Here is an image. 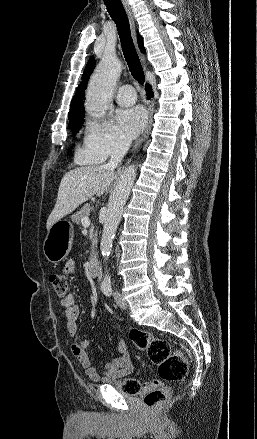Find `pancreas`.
<instances>
[{
    "instance_id": "pancreas-1",
    "label": "pancreas",
    "mask_w": 257,
    "mask_h": 439,
    "mask_svg": "<svg viewBox=\"0 0 257 439\" xmlns=\"http://www.w3.org/2000/svg\"><path fill=\"white\" fill-rule=\"evenodd\" d=\"M90 213V208L88 205L83 206L78 212L72 215L71 220L73 223L80 224L82 218L88 217ZM96 236V234H95ZM94 240H96V237H94Z\"/></svg>"
}]
</instances>
